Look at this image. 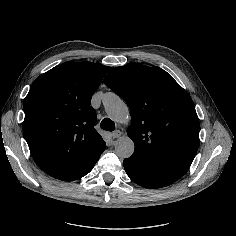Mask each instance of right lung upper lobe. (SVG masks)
<instances>
[{"instance_id": "obj_1", "label": "right lung upper lobe", "mask_w": 236, "mask_h": 236, "mask_svg": "<svg viewBox=\"0 0 236 236\" xmlns=\"http://www.w3.org/2000/svg\"><path fill=\"white\" fill-rule=\"evenodd\" d=\"M109 67L67 62L40 75L24 100V135L34 160L48 175L72 180L102 154L91 97Z\"/></svg>"}]
</instances>
